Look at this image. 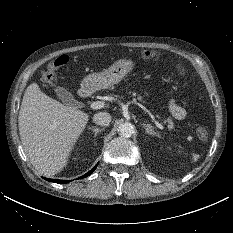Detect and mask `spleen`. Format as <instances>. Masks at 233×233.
<instances>
[{
    "mask_svg": "<svg viewBox=\"0 0 233 233\" xmlns=\"http://www.w3.org/2000/svg\"><path fill=\"white\" fill-rule=\"evenodd\" d=\"M199 158H200L199 154H193V156H192V162H197Z\"/></svg>",
    "mask_w": 233,
    "mask_h": 233,
    "instance_id": "1",
    "label": "spleen"
}]
</instances>
